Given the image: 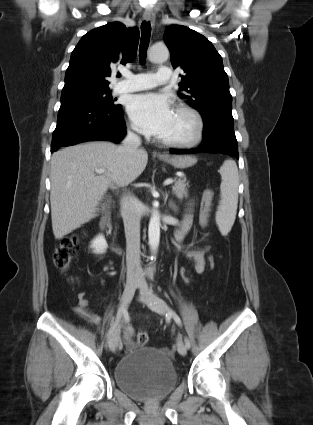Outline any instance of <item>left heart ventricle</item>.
I'll return each instance as SVG.
<instances>
[{
	"label": "left heart ventricle",
	"instance_id": "1",
	"mask_svg": "<svg viewBox=\"0 0 313 425\" xmlns=\"http://www.w3.org/2000/svg\"><path fill=\"white\" fill-rule=\"evenodd\" d=\"M195 130L193 120L186 114L174 112L172 121L161 139L185 140L189 139Z\"/></svg>",
	"mask_w": 313,
	"mask_h": 425
}]
</instances>
